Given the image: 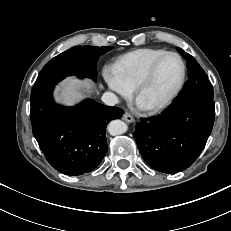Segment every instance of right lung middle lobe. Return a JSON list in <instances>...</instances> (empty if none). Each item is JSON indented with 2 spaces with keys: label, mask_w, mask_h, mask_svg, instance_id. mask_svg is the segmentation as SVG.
I'll list each match as a JSON object with an SVG mask.
<instances>
[{
  "label": "right lung middle lobe",
  "mask_w": 231,
  "mask_h": 231,
  "mask_svg": "<svg viewBox=\"0 0 231 231\" xmlns=\"http://www.w3.org/2000/svg\"><path fill=\"white\" fill-rule=\"evenodd\" d=\"M112 47L77 46L59 54L40 71L35 85L55 84L69 75L88 77L96 81V63L100 55Z\"/></svg>",
  "instance_id": "dd1d6c3e"
}]
</instances>
